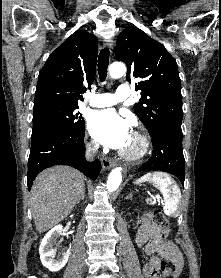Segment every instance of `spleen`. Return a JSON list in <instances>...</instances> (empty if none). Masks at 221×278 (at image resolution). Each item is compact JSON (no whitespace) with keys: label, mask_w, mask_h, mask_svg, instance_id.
Masks as SVG:
<instances>
[{"label":"spleen","mask_w":221,"mask_h":278,"mask_svg":"<svg viewBox=\"0 0 221 278\" xmlns=\"http://www.w3.org/2000/svg\"><path fill=\"white\" fill-rule=\"evenodd\" d=\"M150 182L160 190L164 197L163 211L167 216L175 217L181 201V192L178 185L166 173H147L137 180V183Z\"/></svg>","instance_id":"obj_1"}]
</instances>
